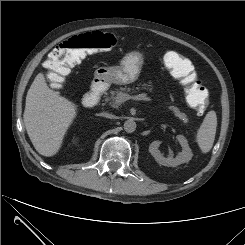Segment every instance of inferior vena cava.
Here are the masks:
<instances>
[{"instance_id":"inferior-vena-cava-1","label":"inferior vena cava","mask_w":245,"mask_h":245,"mask_svg":"<svg viewBox=\"0 0 245 245\" xmlns=\"http://www.w3.org/2000/svg\"><path fill=\"white\" fill-rule=\"evenodd\" d=\"M102 115L106 118H110V119H114L115 116H113L112 114H109V113H102Z\"/></svg>"}]
</instances>
